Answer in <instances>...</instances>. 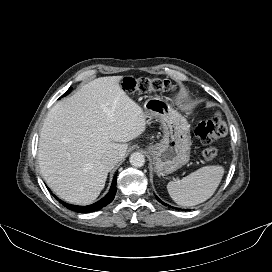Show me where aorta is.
Wrapping results in <instances>:
<instances>
[{
    "label": "aorta",
    "mask_w": 272,
    "mask_h": 272,
    "mask_svg": "<svg viewBox=\"0 0 272 272\" xmlns=\"http://www.w3.org/2000/svg\"><path fill=\"white\" fill-rule=\"evenodd\" d=\"M130 163L134 167H142L145 163V157L140 152H134L130 156Z\"/></svg>",
    "instance_id": "1"
}]
</instances>
